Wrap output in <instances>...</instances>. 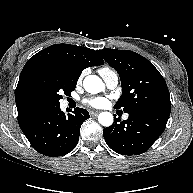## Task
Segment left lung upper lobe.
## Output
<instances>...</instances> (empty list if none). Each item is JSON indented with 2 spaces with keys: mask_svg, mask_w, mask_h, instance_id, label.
<instances>
[{
  "mask_svg": "<svg viewBox=\"0 0 193 193\" xmlns=\"http://www.w3.org/2000/svg\"><path fill=\"white\" fill-rule=\"evenodd\" d=\"M97 52L120 75L122 95L116 109L131 114L171 106L164 78L146 58L129 50L106 48Z\"/></svg>",
  "mask_w": 193,
  "mask_h": 193,
  "instance_id": "5c2ea615",
  "label": "left lung upper lobe"
}]
</instances>
